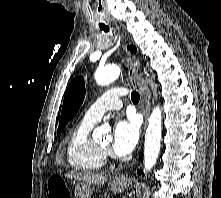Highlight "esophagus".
<instances>
[{
	"label": "esophagus",
	"mask_w": 221,
	"mask_h": 198,
	"mask_svg": "<svg viewBox=\"0 0 221 198\" xmlns=\"http://www.w3.org/2000/svg\"><path fill=\"white\" fill-rule=\"evenodd\" d=\"M126 66L128 68V76L131 84L138 90L140 94V107L144 116V129L147 126V121L150 114L151 104H150V91L147 86L146 81H144L138 73V61L134 55L127 53L126 55ZM136 160L133 161L131 167L135 163ZM124 177L116 178L114 181L120 182L123 181Z\"/></svg>",
	"instance_id": "1"
}]
</instances>
